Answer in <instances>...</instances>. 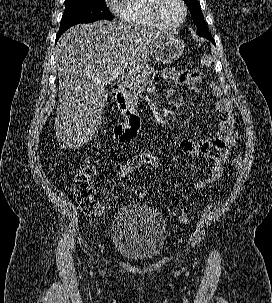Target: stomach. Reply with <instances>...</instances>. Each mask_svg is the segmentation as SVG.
<instances>
[{
	"label": "stomach",
	"instance_id": "1",
	"mask_svg": "<svg viewBox=\"0 0 272 303\" xmlns=\"http://www.w3.org/2000/svg\"><path fill=\"white\" fill-rule=\"evenodd\" d=\"M184 47L181 39L172 35L168 36L161 41L155 50V58L158 62L171 63L182 56Z\"/></svg>",
	"mask_w": 272,
	"mask_h": 303
}]
</instances>
